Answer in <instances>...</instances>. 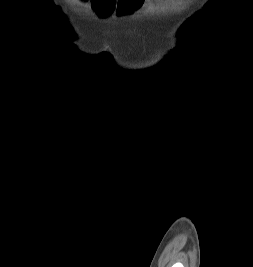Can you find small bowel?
<instances>
[{
  "instance_id": "c3829d8e",
  "label": "small bowel",
  "mask_w": 253,
  "mask_h": 267,
  "mask_svg": "<svg viewBox=\"0 0 253 267\" xmlns=\"http://www.w3.org/2000/svg\"><path fill=\"white\" fill-rule=\"evenodd\" d=\"M147 0H90L92 9L101 15H122L140 8Z\"/></svg>"
}]
</instances>
